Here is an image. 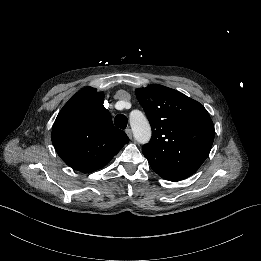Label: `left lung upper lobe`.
I'll return each instance as SVG.
<instances>
[{"instance_id": "obj_1", "label": "left lung upper lobe", "mask_w": 261, "mask_h": 261, "mask_svg": "<svg viewBox=\"0 0 261 261\" xmlns=\"http://www.w3.org/2000/svg\"><path fill=\"white\" fill-rule=\"evenodd\" d=\"M136 96L152 127V137L142 147L155 173L177 182L194 174L211 150L213 122L199 102L174 89L150 85Z\"/></svg>"}]
</instances>
